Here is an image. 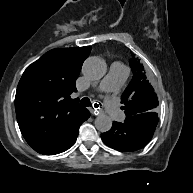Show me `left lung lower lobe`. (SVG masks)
Listing matches in <instances>:
<instances>
[{"mask_svg":"<svg viewBox=\"0 0 193 193\" xmlns=\"http://www.w3.org/2000/svg\"><path fill=\"white\" fill-rule=\"evenodd\" d=\"M141 115L127 118L124 123L113 122L112 128L101 134L103 142L118 151L132 152L143 148L154 134L158 117Z\"/></svg>","mask_w":193,"mask_h":193,"instance_id":"1","label":"left lung lower lobe"}]
</instances>
